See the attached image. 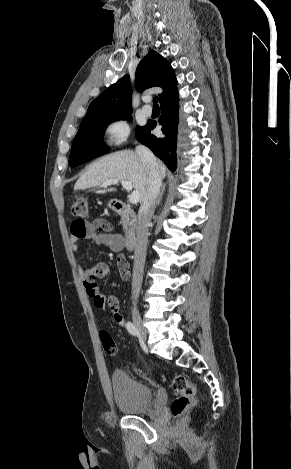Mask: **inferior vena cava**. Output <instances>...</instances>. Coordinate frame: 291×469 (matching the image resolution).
I'll list each match as a JSON object with an SVG mask.
<instances>
[{
    "label": "inferior vena cava",
    "mask_w": 291,
    "mask_h": 469,
    "mask_svg": "<svg viewBox=\"0 0 291 469\" xmlns=\"http://www.w3.org/2000/svg\"><path fill=\"white\" fill-rule=\"evenodd\" d=\"M136 153L149 172V186L141 203L136 230V245L134 250V266L132 276V299L137 301L143 280V270L146 259L148 242V225L154 214L155 206L160 195L161 175L158 163L153 153L145 146H137Z\"/></svg>",
    "instance_id": "602c4592"
}]
</instances>
